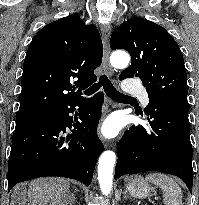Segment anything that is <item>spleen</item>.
Returning <instances> with one entry per match:
<instances>
[{"label":"spleen","instance_id":"obj_1","mask_svg":"<svg viewBox=\"0 0 199 205\" xmlns=\"http://www.w3.org/2000/svg\"><path fill=\"white\" fill-rule=\"evenodd\" d=\"M146 180L162 189L167 205L182 204L181 188L171 177L161 173H151L146 176Z\"/></svg>","mask_w":199,"mask_h":205}]
</instances>
